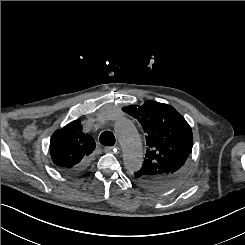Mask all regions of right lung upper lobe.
<instances>
[{
	"mask_svg": "<svg viewBox=\"0 0 245 245\" xmlns=\"http://www.w3.org/2000/svg\"><path fill=\"white\" fill-rule=\"evenodd\" d=\"M80 120H75L54 132L50 142L53 163L69 171L88 159L96 147L93 137L82 132Z\"/></svg>",
	"mask_w": 245,
	"mask_h": 245,
	"instance_id": "right-lung-upper-lobe-1",
	"label": "right lung upper lobe"
}]
</instances>
